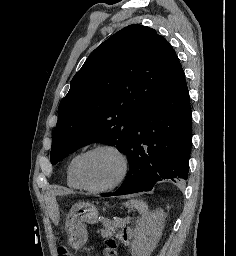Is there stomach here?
Instances as JSON below:
<instances>
[{
	"mask_svg": "<svg viewBox=\"0 0 236 256\" xmlns=\"http://www.w3.org/2000/svg\"><path fill=\"white\" fill-rule=\"evenodd\" d=\"M97 218V208L89 202H79L71 208L65 227L71 247L78 250L84 246L87 241L84 223L94 224Z\"/></svg>",
	"mask_w": 236,
	"mask_h": 256,
	"instance_id": "obj_1",
	"label": "stomach"
}]
</instances>
